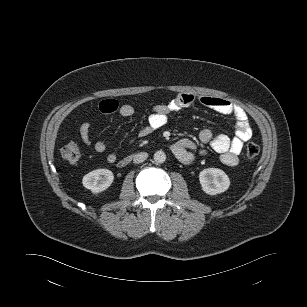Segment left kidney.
I'll list each match as a JSON object with an SVG mask.
<instances>
[{"instance_id": "left-kidney-1", "label": "left kidney", "mask_w": 307, "mask_h": 307, "mask_svg": "<svg viewBox=\"0 0 307 307\" xmlns=\"http://www.w3.org/2000/svg\"><path fill=\"white\" fill-rule=\"evenodd\" d=\"M199 181L202 190L209 195L225 192L230 186L229 177L218 168H207L201 171Z\"/></svg>"}]
</instances>
